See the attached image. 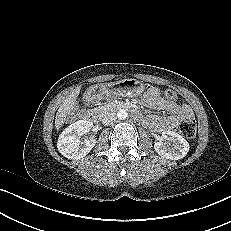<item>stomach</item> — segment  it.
I'll return each instance as SVG.
<instances>
[{
    "instance_id": "stomach-1",
    "label": "stomach",
    "mask_w": 231,
    "mask_h": 231,
    "mask_svg": "<svg viewBox=\"0 0 231 231\" xmlns=\"http://www.w3.org/2000/svg\"><path fill=\"white\" fill-rule=\"evenodd\" d=\"M144 90V84L136 79H123L110 85V91L117 95L138 96Z\"/></svg>"
}]
</instances>
